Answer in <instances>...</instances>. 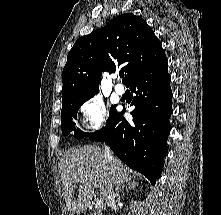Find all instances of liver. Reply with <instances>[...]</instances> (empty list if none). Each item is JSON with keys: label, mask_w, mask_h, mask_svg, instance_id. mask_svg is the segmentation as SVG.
<instances>
[{"label": "liver", "mask_w": 221, "mask_h": 215, "mask_svg": "<svg viewBox=\"0 0 221 215\" xmlns=\"http://www.w3.org/2000/svg\"><path fill=\"white\" fill-rule=\"evenodd\" d=\"M59 172L70 215H79L88 208L94 196V188H98L105 199L111 183L118 186L132 179V171L125 164L115 157L110 161L105 152L94 145L71 148L64 152ZM75 189H78L77 198L74 197Z\"/></svg>", "instance_id": "obj_1"}]
</instances>
